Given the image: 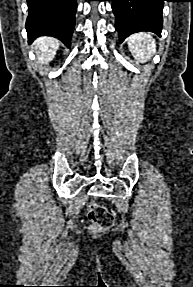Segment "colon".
<instances>
[{
  "instance_id": "5ec220e1",
  "label": "colon",
  "mask_w": 193,
  "mask_h": 287,
  "mask_svg": "<svg viewBox=\"0 0 193 287\" xmlns=\"http://www.w3.org/2000/svg\"><path fill=\"white\" fill-rule=\"evenodd\" d=\"M88 219L91 231L101 232L111 227L114 217L106 207L90 203L88 205Z\"/></svg>"
}]
</instances>
